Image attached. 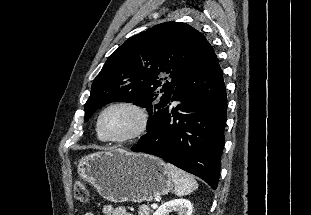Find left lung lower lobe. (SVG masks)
Segmentation results:
<instances>
[{
  "label": "left lung lower lobe",
  "instance_id": "0a47b994",
  "mask_svg": "<svg viewBox=\"0 0 311 215\" xmlns=\"http://www.w3.org/2000/svg\"><path fill=\"white\" fill-rule=\"evenodd\" d=\"M226 112L223 73L212 46L205 40L167 105L131 150L158 156L216 189Z\"/></svg>",
  "mask_w": 311,
  "mask_h": 215
}]
</instances>
